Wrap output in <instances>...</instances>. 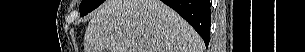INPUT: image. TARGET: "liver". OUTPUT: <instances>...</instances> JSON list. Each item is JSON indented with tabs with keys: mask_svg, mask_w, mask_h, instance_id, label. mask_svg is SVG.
<instances>
[{
	"mask_svg": "<svg viewBox=\"0 0 305 52\" xmlns=\"http://www.w3.org/2000/svg\"><path fill=\"white\" fill-rule=\"evenodd\" d=\"M84 52H203L197 32L160 0H106L86 28Z\"/></svg>",
	"mask_w": 305,
	"mask_h": 52,
	"instance_id": "obj_1",
	"label": "liver"
}]
</instances>
